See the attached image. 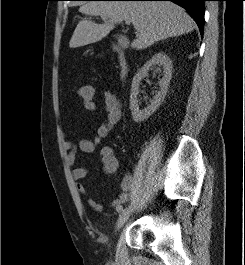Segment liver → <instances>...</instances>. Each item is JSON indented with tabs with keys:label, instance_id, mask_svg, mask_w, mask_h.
I'll use <instances>...</instances> for the list:
<instances>
[{
	"label": "liver",
	"instance_id": "liver-1",
	"mask_svg": "<svg viewBox=\"0 0 245 265\" xmlns=\"http://www.w3.org/2000/svg\"><path fill=\"white\" fill-rule=\"evenodd\" d=\"M79 12L98 16L103 24L82 19L69 42L70 48L96 43L106 37L114 26L129 20L136 30L133 49L142 50L170 37L189 33L195 28L193 19L185 10L169 1H91L83 4Z\"/></svg>",
	"mask_w": 245,
	"mask_h": 265
}]
</instances>
